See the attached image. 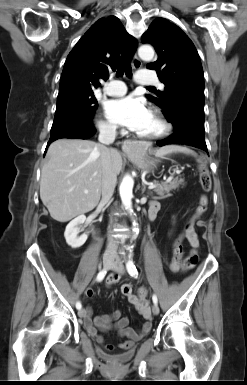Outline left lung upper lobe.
Masks as SVG:
<instances>
[{
	"label": "left lung upper lobe",
	"mask_w": 247,
	"mask_h": 385,
	"mask_svg": "<svg viewBox=\"0 0 247 385\" xmlns=\"http://www.w3.org/2000/svg\"><path fill=\"white\" fill-rule=\"evenodd\" d=\"M158 53L157 61L148 69L157 70L164 91L147 98L164 110L167 119L177 109L204 111V75L198 52L189 37L175 24L164 18L155 19L141 38Z\"/></svg>",
	"instance_id": "left-lung-upper-lobe-1"
}]
</instances>
